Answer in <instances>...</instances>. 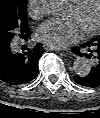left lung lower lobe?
<instances>
[{"mask_svg": "<svg viewBox=\"0 0 100 118\" xmlns=\"http://www.w3.org/2000/svg\"><path fill=\"white\" fill-rule=\"evenodd\" d=\"M80 46L82 48H85L87 52L82 53L79 47H74L72 51L78 56H85L88 59H90L93 66L88 75L75 76L74 80L76 81V83L82 86L90 88L99 87L100 86V36Z\"/></svg>", "mask_w": 100, "mask_h": 118, "instance_id": "left-lung-lower-lobe-1", "label": "left lung lower lobe"}]
</instances>
